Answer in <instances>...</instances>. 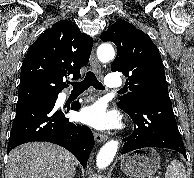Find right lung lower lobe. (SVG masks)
<instances>
[{"label": "right lung lower lobe", "instance_id": "98d812e1", "mask_svg": "<svg viewBox=\"0 0 194 178\" xmlns=\"http://www.w3.org/2000/svg\"><path fill=\"white\" fill-rule=\"evenodd\" d=\"M57 98L17 103L7 151L27 142H52L69 150L85 168L94 146L93 134L88 127L70 123L62 111L55 110ZM79 108L78 102L71 106L72 110Z\"/></svg>", "mask_w": 194, "mask_h": 178}]
</instances>
